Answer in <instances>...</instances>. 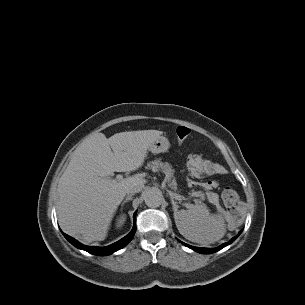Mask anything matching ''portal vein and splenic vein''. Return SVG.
<instances>
[{"label":"portal vein and splenic vein","mask_w":305,"mask_h":305,"mask_svg":"<svg viewBox=\"0 0 305 305\" xmlns=\"http://www.w3.org/2000/svg\"><path fill=\"white\" fill-rule=\"evenodd\" d=\"M110 179V178H108ZM123 179V176L122 175H117L116 176V180H122ZM176 199L180 200L181 199V196L180 195H177L175 193L172 194ZM194 196H198V192H194L193 193Z\"/></svg>","instance_id":"18ae733b"}]
</instances>
